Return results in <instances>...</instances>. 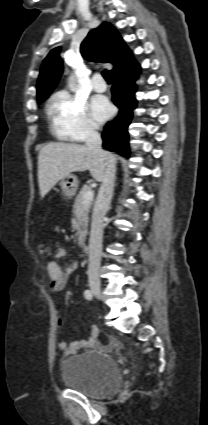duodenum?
Wrapping results in <instances>:
<instances>
[{
	"label": "duodenum",
	"mask_w": 208,
	"mask_h": 425,
	"mask_svg": "<svg viewBox=\"0 0 208 425\" xmlns=\"http://www.w3.org/2000/svg\"><path fill=\"white\" fill-rule=\"evenodd\" d=\"M82 252H83L84 255H88L90 253L89 246L86 245V244H83L82 245Z\"/></svg>",
	"instance_id": "410a0bca"
}]
</instances>
